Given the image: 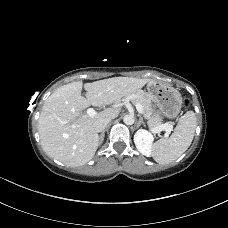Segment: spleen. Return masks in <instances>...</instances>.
I'll list each match as a JSON object with an SVG mask.
<instances>
[{
    "mask_svg": "<svg viewBox=\"0 0 228 228\" xmlns=\"http://www.w3.org/2000/svg\"><path fill=\"white\" fill-rule=\"evenodd\" d=\"M196 129V115L187 111L182 116L170 137L156 141L152 156L159 164H169L178 159L191 145Z\"/></svg>",
    "mask_w": 228,
    "mask_h": 228,
    "instance_id": "3e777b00",
    "label": "spleen"
}]
</instances>
